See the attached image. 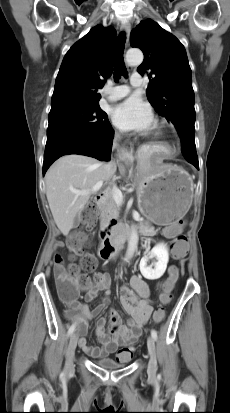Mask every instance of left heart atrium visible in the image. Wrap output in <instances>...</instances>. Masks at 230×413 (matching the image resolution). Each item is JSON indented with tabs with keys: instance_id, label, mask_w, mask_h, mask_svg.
I'll list each match as a JSON object with an SVG mask.
<instances>
[{
	"instance_id": "obj_1",
	"label": "left heart atrium",
	"mask_w": 230,
	"mask_h": 413,
	"mask_svg": "<svg viewBox=\"0 0 230 413\" xmlns=\"http://www.w3.org/2000/svg\"><path fill=\"white\" fill-rule=\"evenodd\" d=\"M115 126L126 132H143L153 122L150 107L138 98H129L118 104L112 113Z\"/></svg>"
}]
</instances>
